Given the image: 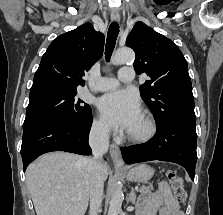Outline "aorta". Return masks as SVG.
I'll use <instances>...</instances> for the list:
<instances>
[{"label":"aorta","instance_id":"aorta-1","mask_svg":"<svg viewBox=\"0 0 223 215\" xmlns=\"http://www.w3.org/2000/svg\"><path fill=\"white\" fill-rule=\"evenodd\" d=\"M135 54L131 48H119L116 50L113 58H111V64L113 66H120V64H129V62H134ZM123 201V191L119 183L110 199V205L107 215H118V211L121 209Z\"/></svg>","mask_w":223,"mask_h":215}]
</instances>
